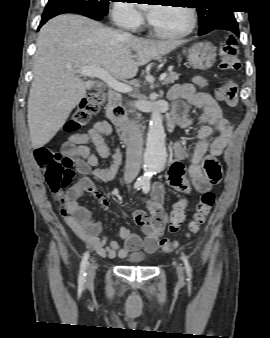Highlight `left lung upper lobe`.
<instances>
[{
    "instance_id": "5c2ea615",
    "label": "left lung upper lobe",
    "mask_w": 270,
    "mask_h": 338,
    "mask_svg": "<svg viewBox=\"0 0 270 338\" xmlns=\"http://www.w3.org/2000/svg\"><path fill=\"white\" fill-rule=\"evenodd\" d=\"M199 35L208 33L217 25L234 19L233 11L227 7L228 0H198Z\"/></svg>"
}]
</instances>
